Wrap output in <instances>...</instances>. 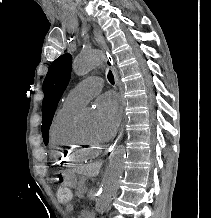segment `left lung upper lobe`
I'll return each instance as SVG.
<instances>
[{"label": "left lung upper lobe", "instance_id": "obj_1", "mask_svg": "<svg viewBox=\"0 0 211 218\" xmlns=\"http://www.w3.org/2000/svg\"><path fill=\"white\" fill-rule=\"evenodd\" d=\"M71 64V55L60 56L51 64L43 82L42 133L45 145L57 104L70 79Z\"/></svg>", "mask_w": 211, "mask_h": 218}]
</instances>
